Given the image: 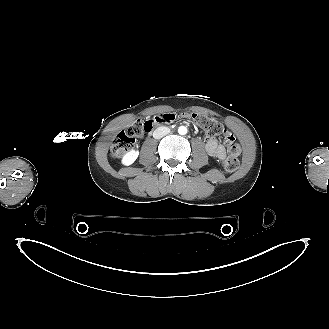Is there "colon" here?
<instances>
[{
	"label": "colon",
	"mask_w": 329,
	"mask_h": 329,
	"mask_svg": "<svg viewBox=\"0 0 329 329\" xmlns=\"http://www.w3.org/2000/svg\"><path fill=\"white\" fill-rule=\"evenodd\" d=\"M155 117L147 119L146 121H136L128 128L122 130L116 136L115 141L112 144V156L116 159L121 158L130 148L136 144L137 140L141 138L145 132H148L153 127V124L156 121ZM190 117L200 125V127L205 131L207 135L212 137H222L226 144H232L233 136L219 121L209 117L198 116L196 114H193ZM224 166L227 171L234 172L239 167V160L236 156H229L224 161Z\"/></svg>",
	"instance_id": "1"
}]
</instances>
